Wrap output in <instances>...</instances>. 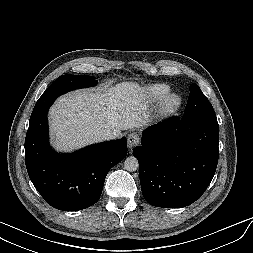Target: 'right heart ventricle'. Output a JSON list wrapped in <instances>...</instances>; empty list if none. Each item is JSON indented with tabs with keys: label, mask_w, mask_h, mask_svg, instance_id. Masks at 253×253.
I'll return each mask as SVG.
<instances>
[{
	"label": "right heart ventricle",
	"mask_w": 253,
	"mask_h": 253,
	"mask_svg": "<svg viewBox=\"0 0 253 253\" xmlns=\"http://www.w3.org/2000/svg\"><path fill=\"white\" fill-rule=\"evenodd\" d=\"M169 92L170 87L162 83L151 84L145 89L146 97L152 103L161 101Z\"/></svg>",
	"instance_id": "obj_1"
}]
</instances>
